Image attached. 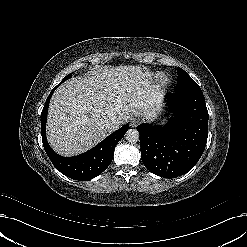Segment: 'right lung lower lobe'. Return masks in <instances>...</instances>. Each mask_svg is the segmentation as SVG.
<instances>
[{
    "label": "right lung lower lobe",
    "instance_id": "98d812e1",
    "mask_svg": "<svg viewBox=\"0 0 247 247\" xmlns=\"http://www.w3.org/2000/svg\"><path fill=\"white\" fill-rule=\"evenodd\" d=\"M56 88L57 87L49 94L41 114V134L44 149L54 167L62 174L79 181L93 179L100 175L111 164L115 146L123 138L129 129V125L126 124L97 146L81 155L67 158L56 154L47 143L45 131L49 102Z\"/></svg>",
    "mask_w": 247,
    "mask_h": 247
}]
</instances>
